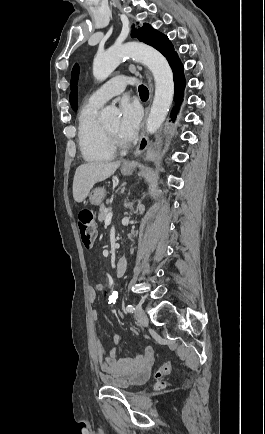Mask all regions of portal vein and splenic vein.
Instances as JSON below:
<instances>
[{
    "instance_id": "18ae733b",
    "label": "portal vein and splenic vein",
    "mask_w": 265,
    "mask_h": 434,
    "mask_svg": "<svg viewBox=\"0 0 265 434\" xmlns=\"http://www.w3.org/2000/svg\"><path fill=\"white\" fill-rule=\"evenodd\" d=\"M113 214L112 212H110V214H108L106 220H105V226H109V224H111V218H112Z\"/></svg>"
}]
</instances>
